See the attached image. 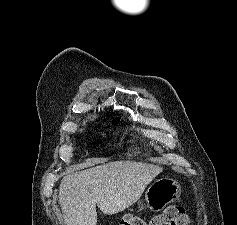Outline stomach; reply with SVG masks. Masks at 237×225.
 <instances>
[{"label":"stomach","instance_id":"stomach-1","mask_svg":"<svg viewBox=\"0 0 237 225\" xmlns=\"http://www.w3.org/2000/svg\"><path fill=\"white\" fill-rule=\"evenodd\" d=\"M181 195L180 184L170 178H161L154 181L146 191L145 200L147 206L152 211H161L169 203L177 200ZM139 210L143 209V204L138 202Z\"/></svg>","mask_w":237,"mask_h":225}]
</instances>
